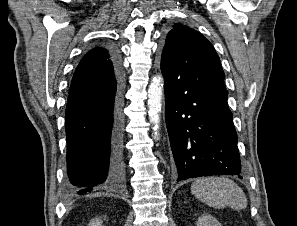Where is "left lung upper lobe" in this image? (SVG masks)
Instances as JSON below:
<instances>
[{"mask_svg":"<svg viewBox=\"0 0 297 226\" xmlns=\"http://www.w3.org/2000/svg\"><path fill=\"white\" fill-rule=\"evenodd\" d=\"M161 71L195 89H226L221 62L212 44L182 24H175L167 34Z\"/></svg>","mask_w":297,"mask_h":226,"instance_id":"1","label":"left lung upper lobe"}]
</instances>
